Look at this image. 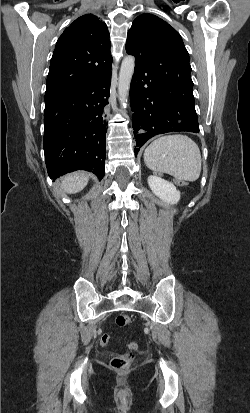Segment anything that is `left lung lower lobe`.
Instances as JSON below:
<instances>
[{
  "instance_id": "obj_1",
  "label": "left lung lower lobe",
  "mask_w": 250,
  "mask_h": 413,
  "mask_svg": "<svg viewBox=\"0 0 250 413\" xmlns=\"http://www.w3.org/2000/svg\"><path fill=\"white\" fill-rule=\"evenodd\" d=\"M127 53L136 58L130 86L135 153L157 134L173 131L198 133L193 82L180 81L169 74L155 75L146 66L144 52L135 49Z\"/></svg>"
}]
</instances>
